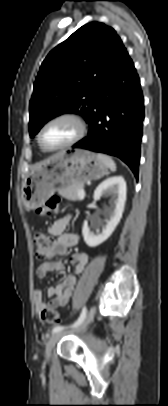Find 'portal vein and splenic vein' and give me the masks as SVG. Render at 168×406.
I'll return each instance as SVG.
<instances>
[{"label": "portal vein and splenic vein", "instance_id": "18ae733b", "mask_svg": "<svg viewBox=\"0 0 168 406\" xmlns=\"http://www.w3.org/2000/svg\"><path fill=\"white\" fill-rule=\"evenodd\" d=\"M78 195H79L81 198H84V197H85V191H84L83 189H81V190L78 192Z\"/></svg>", "mask_w": 168, "mask_h": 406}]
</instances>
